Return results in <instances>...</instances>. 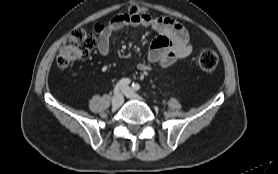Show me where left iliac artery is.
<instances>
[{
  "label": "left iliac artery",
  "instance_id": "obj_1",
  "mask_svg": "<svg viewBox=\"0 0 278 174\" xmlns=\"http://www.w3.org/2000/svg\"><path fill=\"white\" fill-rule=\"evenodd\" d=\"M132 88L135 90V91H138L140 90V85L138 83H133L132 84Z\"/></svg>",
  "mask_w": 278,
  "mask_h": 174
}]
</instances>
